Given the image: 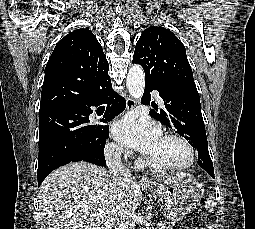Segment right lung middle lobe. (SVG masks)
Returning a JSON list of instances; mask_svg holds the SVG:
<instances>
[{
  "instance_id": "1",
  "label": "right lung middle lobe",
  "mask_w": 255,
  "mask_h": 229,
  "mask_svg": "<svg viewBox=\"0 0 255 229\" xmlns=\"http://www.w3.org/2000/svg\"><path fill=\"white\" fill-rule=\"evenodd\" d=\"M39 126L38 172L104 154L106 142L100 128L89 124L88 117L81 112L66 109L39 117Z\"/></svg>"
}]
</instances>
